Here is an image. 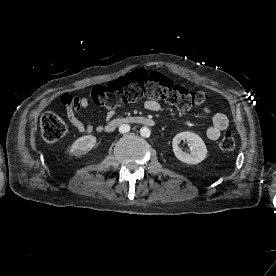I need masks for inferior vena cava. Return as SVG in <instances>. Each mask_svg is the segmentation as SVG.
Masks as SVG:
<instances>
[{
    "instance_id": "inferior-vena-cava-1",
    "label": "inferior vena cava",
    "mask_w": 276,
    "mask_h": 276,
    "mask_svg": "<svg viewBox=\"0 0 276 276\" xmlns=\"http://www.w3.org/2000/svg\"><path fill=\"white\" fill-rule=\"evenodd\" d=\"M130 131V126L128 124H122L119 127V132L120 133H127Z\"/></svg>"
}]
</instances>
